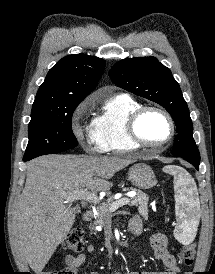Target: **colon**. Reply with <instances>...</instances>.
Returning a JSON list of instances; mask_svg holds the SVG:
<instances>
[{"label": "colon", "instance_id": "obj_1", "mask_svg": "<svg viewBox=\"0 0 215 274\" xmlns=\"http://www.w3.org/2000/svg\"><path fill=\"white\" fill-rule=\"evenodd\" d=\"M83 230L81 228L72 229L63 242V248L68 251L78 252L83 248ZM196 249L194 245L183 248L181 256L187 266H191L195 260ZM42 274H70L67 270L56 272H44Z\"/></svg>", "mask_w": 215, "mask_h": 274}]
</instances>
